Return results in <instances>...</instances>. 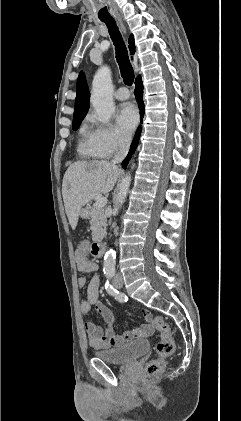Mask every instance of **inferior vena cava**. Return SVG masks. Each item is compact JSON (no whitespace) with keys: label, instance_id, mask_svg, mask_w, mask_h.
Wrapping results in <instances>:
<instances>
[{"label":"inferior vena cava","instance_id":"1","mask_svg":"<svg viewBox=\"0 0 241 421\" xmlns=\"http://www.w3.org/2000/svg\"><path fill=\"white\" fill-rule=\"evenodd\" d=\"M131 137L127 135H123L119 139V149L115 154L114 158L111 161L112 165H116L123 161L126 157L129 147H130Z\"/></svg>","mask_w":241,"mask_h":421}]
</instances>
